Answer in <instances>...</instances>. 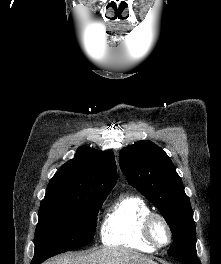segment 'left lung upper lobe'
<instances>
[{
    "label": "left lung upper lobe",
    "mask_w": 221,
    "mask_h": 264,
    "mask_svg": "<svg viewBox=\"0 0 221 264\" xmlns=\"http://www.w3.org/2000/svg\"><path fill=\"white\" fill-rule=\"evenodd\" d=\"M119 163L128 182L169 224L174 242L168 254L177 258L197 257L193 211L182 180L167 154L154 143L142 140L123 148Z\"/></svg>",
    "instance_id": "left-lung-upper-lobe-1"
}]
</instances>
